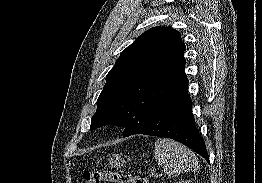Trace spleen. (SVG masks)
Wrapping results in <instances>:
<instances>
[{
    "mask_svg": "<svg viewBox=\"0 0 262 183\" xmlns=\"http://www.w3.org/2000/svg\"><path fill=\"white\" fill-rule=\"evenodd\" d=\"M154 157L168 177L197 170L199 164L196 155L182 144L161 138L155 142Z\"/></svg>",
    "mask_w": 262,
    "mask_h": 183,
    "instance_id": "1",
    "label": "spleen"
}]
</instances>
